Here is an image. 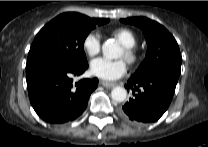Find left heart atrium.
<instances>
[{"label": "left heart atrium", "instance_id": "obj_1", "mask_svg": "<svg viewBox=\"0 0 208 147\" xmlns=\"http://www.w3.org/2000/svg\"><path fill=\"white\" fill-rule=\"evenodd\" d=\"M127 65L122 59L109 60L106 58H96L90 64L91 73L101 79L112 81L120 78L126 72Z\"/></svg>", "mask_w": 208, "mask_h": 147}]
</instances>
